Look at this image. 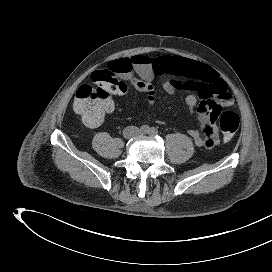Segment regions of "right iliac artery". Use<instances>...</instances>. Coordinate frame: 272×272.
Returning <instances> with one entry per match:
<instances>
[{
  "instance_id": "obj_1",
  "label": "right iliac artery",
  "mask_w": 272,
  "mask_h": 272,
  "mask_svg": "<svg viewBox=\"0 0 272 272\" xmlns=\"http://www.w3.org/2000/svg\"><path fill=\"white\" fill-rule=\"evenodd\" d=\"M149 130H150V128H149V126H147V125H142V126L140 127V132H141V133H144V134L149 133Z\"/></svg>"
}]
</instances>
